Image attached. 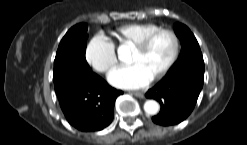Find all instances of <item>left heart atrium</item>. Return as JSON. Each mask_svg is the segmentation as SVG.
<instances>
[{
  "label": "left heart atrium",
  "mask_w": 247,
  "mask_h": 145,
  "mask_svg": "<svg viewBox=\"0 0 247 145\" xmlns=\"http://www.w3.org/2000/svg\"><path fill=\"white\" fill-rule=\"evenodd\" d=\"M111 84L125 89H136L147 85L153 79L141 65L131 64L116 68L109 75Z\"/></svg>",
  "instance_id": "1"
}]
</instances>
